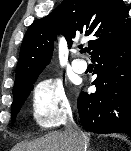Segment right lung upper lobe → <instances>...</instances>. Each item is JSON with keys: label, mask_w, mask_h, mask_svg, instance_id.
<instances>
[{"label": "right lung upper lobe", "mask_w": 131, "mask_h": 151, "mask_svg": "<svg viewBox=\"0 0 131 151\" xmlns=\"http://www.w3.org/2000/svg\"><path fill=\"white\" fill-rule=\"evenodd\" d=\"M128 16L123 0H63L27 30L13 90L28 84L49 63L59 32L65 36L69 47L73 38L89 36L87 49L91 55L105 43L131 31Z\"/></svg>", "instance_id": "1"}]
</instances>
